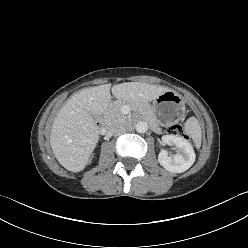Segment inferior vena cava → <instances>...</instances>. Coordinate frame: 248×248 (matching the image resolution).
Wrapping results in <instances>:
<instances>
[{
	"label": "inferior vena cava",
	"mask_w": 248,
	"mask_h": 248,
	"mask_svg": "<svg viewBox=\"0 0 248 248\" xmlns=\"http://www.w3.org/2000/svg\"><path fill=\"white\" fill-rule=\"evenodd\" d=\"M111 134L115 136L122 135L126 132L125 126L120 122H114L109 128Z\"/></svg>",
	"instance_id": "1"
}]
</instances>
